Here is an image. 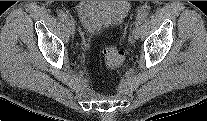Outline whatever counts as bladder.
Listing matches in <instances>:
<instances>
[{
    "label": "bladder",
    "mask_w": 207,
    "mask_h": 121,
    "mask_svg": "<svg viewBox=\"0 0 207 121\" xmlns=\"http://www.w3.org/2000/svg\"><path fill=\"white\" fill-rule=\"evenodd\" d=\"M129 12L128 1H81L77 6L80 22L89 34L121 25Z\"/></svg>",
    "instance_id": "1"
}]
</instances>
